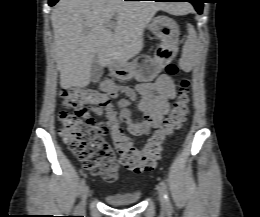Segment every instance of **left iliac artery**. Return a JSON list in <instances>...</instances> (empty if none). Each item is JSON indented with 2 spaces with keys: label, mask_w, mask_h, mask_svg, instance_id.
<instances>
[{
  "label": "left iliac artery",
  "mask_w": 260,
  "mask_h": 217,
  "mask_svg": "<svg viewBox=\"0 0 260 217\" xmlns=\"http://www.w3.org/2000/svg\"><path fill=\"white\" fill-rule=\"evenodd\" d=\"M161 186H162L163 191H164V198H165V201H166V204H167V208L169 210H171L172 209V204H171V201H170L167 184L164 181H162L161 182Z\"/></svg>",
  "instance_id": "1"
}]
</instances>
